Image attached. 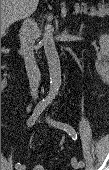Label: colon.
<instances>
[{"mask_svg":"<svg viewBox=\"0 0 109 170\" xmlns=\"http://www.w3.org/2000/svg\"><path fill=\"white\" fill-rule=\"evenodd\" d=\"M31 170H45V168L42 165H35Z\"/></svg>","mask_w":109,"mask_h":170,"instance_id":"5ec220e1","label":"colon"}]
</instances>
